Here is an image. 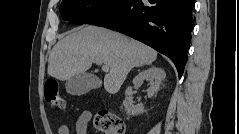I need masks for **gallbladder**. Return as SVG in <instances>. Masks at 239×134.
<instances>
[{"instance_id":"obj_1","label":"gallbladder","mask_w":239,"mask_h":134,"mask_svg":"<svg viewBox=\"0 0 239 134\" xmlns=\"http://www.w3.org/2000/svg\"><path fill=\"white\" fill-rule=\"evenodd\" d=\"M99 86L98 79L88 73H82L68 79L65 83L66 91L72 95H83Z\"/></svg>"}]
</instances>
